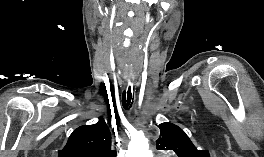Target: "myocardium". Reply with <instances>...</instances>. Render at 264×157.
<instances>
[{"mask_svg": "<svg viewBox=\"0 0 264 157\" xmlns=\"http://www.w3.org/2000/svg\"><path fill=\"white\" fill-rule=\"evenodd\" d=\"M159 157H171V156H159Z\"/></svg>", "mask_w": 264, "mask_h": 157, "instance_id": "obj_1", "label": "myocardium"}]
</instances>
